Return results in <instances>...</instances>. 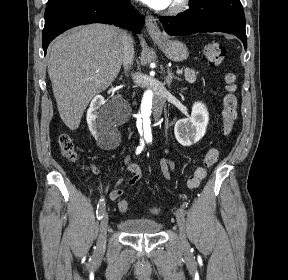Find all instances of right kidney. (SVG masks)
Segmentation results:
<instances>
[{
	"mask_svg": "<svg viewBox=\"0 0 288 280\" xmlns=\"http://www.w3.org/2000/svg\"><path fill=\"white\" fill-rule=\"evenodd\" d=\"M104 103V97L101 95L93 98L87 111V123L98 145L101 148L107 149L111 147V142L116 132L113 127L106 126L104 114L99 111Z\"/></svg>",
	"mask_w": 288,
	"mask_h": 280,
	"instance_id": "ca27d5eb",
	"label": "right kidney"
}]
</instances>
